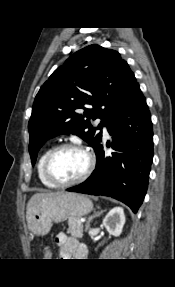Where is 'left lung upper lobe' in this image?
<instances>
[{
	"instance_id": "obj_1",
	"label": "left lung upper lobe",
	"mask_w": 175,
	"mask_h": 287,
	"mask_svg": "<svg viewBox=\"0 0 175 287\" xmlns=\"http://www.w3.org/2000/svg\"><path fill=\"white\" fill-rule=\"evenodd\" d=\"M137 85L115 50L90 45L70 56L36 95L28 124L32 164L41 146L60 134H75L96 150L102 127L130 101ZM96 118L101 123L93 127L90 120Z\"/></svg>"
}]
</instances>
